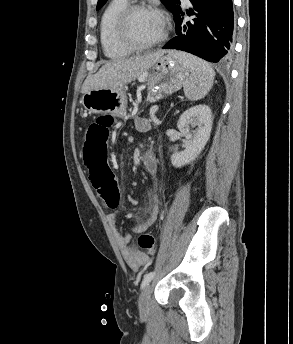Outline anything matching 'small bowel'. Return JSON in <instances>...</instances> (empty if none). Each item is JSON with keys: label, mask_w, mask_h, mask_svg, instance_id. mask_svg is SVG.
<instances>
[{"label": "small bowel", "mask_w": 293, "mask_h": 344, "mask_svg": "<svg viewBox=\"0 0 293 344\" xmlns=\"http://www.w3.org/2000/svg\"><path fill=\"white\" fill-rule=\"evenodd\" d=\"M136 128L139 131L145 132L150 129V122L145 118H137L135 121ZM151 153V152H149ZM152 154V153H151ZM146 169L152 173L156 174L158 171L157 163L153 159L150 166H146ZM158 214V205H157V195L155 192L152 193V205L150 207L149 213L144 220L138 223L135 227V231H142L147 229L156 219ZM109 221L113 228L114 237L116 243L122 253V256L126 263L132 270H138L141 266L145 265L149 258L147 256L141 255L136 249L130 247V236L127 234L121 233L116 227V215L115 213H110Z\"/></svg>", "instance_id": "1"}]
</instances>
